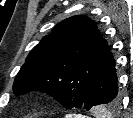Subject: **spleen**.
Returning a JSON list of instances; mask_svg holds the SVG:
<instances>
[{"label": "spleen", "mask_w": 133, "mask_h": 118, "mask_svg": "<svg viewBox=\"0 0 133 118\" xmlns=\"http://www.w3.org/2000/svg\"><path fill=\"white\" fill-rule=\"evenodd\" d=\"M106 116H108V115H106V114H103V115H102V118H106Z\"/></svg>", "instance_id": "1"}]
</instances>
